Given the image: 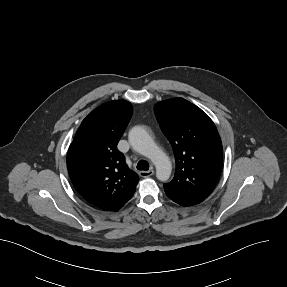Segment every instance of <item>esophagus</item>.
<instances>
[{
    "label": "esophagus",
    "mask_w": 287,
    "mask_h": 287,
    "mask_svg": "<svg viewBox=\"0 0 287 287\" xmlns=\"http://www.w3.org/2000/svg\"><path fill=\"white\" fill-rule=\"evenodd\" d=\"M154 174V170L153 169H150L148 171H140L139 172V175L141 177H149V176H152Z\"/></svg>",
    "instance_id": "1"
}]
</instances>
